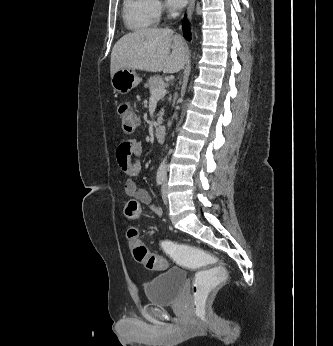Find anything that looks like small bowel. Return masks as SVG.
Listing matches in <instances>:
<instances>
[{
    "label": "small bowel",
    "mask_w": 333,
    "mask_h": 346,
    "mask_svg": "<svg viewBox=\"0 0 333 346\" xmlns=\"http://www.w3.org/2000/svg\"><path fill=\"white\" fill-rule=\"evenodd\" d=\"M143 153V144L138 139L121 141L116 148V160L120 169L127 176L124 184L126 195L136 198L142 205L147 206L154 214L161 215L162 210L159 206L151 203L149 193L138 187L136 179L141 170L139 161L131 162V156L139 157Z\"/></svg>",
    "instance_id": "c3829d8e"
}]
</instances>
